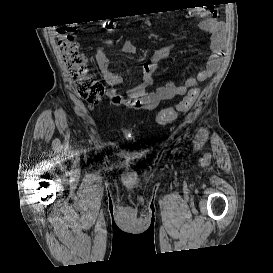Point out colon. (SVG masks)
Listing matches in <instances>:
<instances>
[{
  "label": "colon",
  "mask_w": 273,
  "mask_h": 273,
  "mask_svg": "<svg viewBox=\"0 0 273 273\" xmlns=\"http://www.w3.org/2000/svg\"><path fill=\"white\" fill-rule=\"evenodd\" d=\"M78 32L79 26L77 24L58 29V49L74 83L76 94L90 106H95L101 101L106 87L89 69L88 58L79 49L76 41ZM197 95L198 90H191L177 105L161 110L157 114V122L166 125L174 121L180 114L187 112L192 107Z\"/></svg>",
  "instance_id": "obj_1"
}]
</instances>
